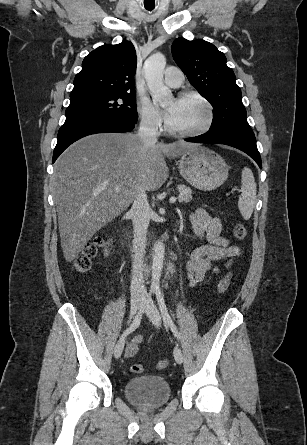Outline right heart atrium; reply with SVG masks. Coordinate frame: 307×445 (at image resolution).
<instances>
[{
  "mask_svg": "<svg viewBox=\"0 0 307 445\" xmlns=\"http://www.w3.org/2000/svg\"><path fill=\"white\" fill-rule=\"evenodd\" d=\"M143 128L149 133H156L162 128V117L158 110L146 99L142 98L138 104Z\"/></svg>",
  "mask_w": 307,
  "mask_h": 445,
  "instance_id": "right-heart-atrium-1",
  "label": "right heart atrium"
}]
</instances>
